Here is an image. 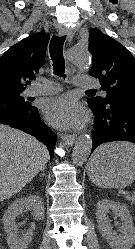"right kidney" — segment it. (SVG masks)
Listing matches in <instances>:
<instances>
[{
	"label": "right kidney",
	"instance_id": "obj_1",
	"mask_svg": "<svg viewBox=\"0 0 135 249\" xmlns=\"http://www.w3.org/2000/svg\"><path fill=\"white\" fill-rule=\"evenodd\" d=\"M25 210H31L34 219L37 221L44 218V205L39 196L31 195L15 200L2 218L4 230L7 233V243L10 249H27L32 239L31 231H27L22 235L17 234L18 227L15 223V219Z\"/></svg>",
	"mask_w": 135,
	"mask_h": 249
}]
</instances>
